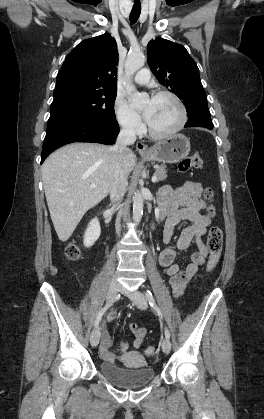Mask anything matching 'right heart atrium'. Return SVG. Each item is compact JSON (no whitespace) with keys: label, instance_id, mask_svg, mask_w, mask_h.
I'll return each instance as SVG.
<instances>
[{"label":"right heart atrium","instance_id":"obj_1","mask_svg":"<svg viewBox=\"0 0 264 419\" xmlns=\"http://www.w3.org/2000/svg\"><path fill=\"white\" fill-rule=\"evenodd\" d=\"M113 111L117 123L125 132L130 134H138L143 128L142 120L128 104L127 100L117 95L113 103Z\"/></svg>","mask_w":264,"mask_h":419}]
</instances>
